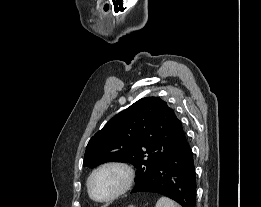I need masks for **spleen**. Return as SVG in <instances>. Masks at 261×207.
<instances>
[{
  "label": "spleen",
  "mask_w": 261,
  "mask_h": 207,
  "mask_svg": "<svg viewBox=\"0 0 261 207\" xmlns=\"http://www.w3.org/2000/svg\"><path fill=\"white\" fill-rule=\"evenodd\" d=\"M155 207H180V206H178L173 200L169 198L161 197L157 201Z\"/></svg>",
  "instance_id": "obj_1"
}]
</instances>
